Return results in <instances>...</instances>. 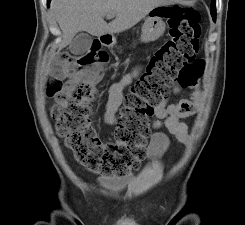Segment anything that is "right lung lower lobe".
I'll use <instances>...</instances> for the list:
<instances>
[{
  "label": "right lung lower lobe",
  "mask_w": 245,
  "mask_h": 225,
  "mask_svg": "<svg viewBox=\"0 0 245 225\" xmlns=\"http://www.w3.org/2000/svg\"><path fill=\"white\" fill-rule=\"evenodd\" d=\"M50 1H51V0H47V4H48V6H49Z\"/></svg>",
  "instance_id": "right-lung-lower-lobe-1"
}]
</instances>
